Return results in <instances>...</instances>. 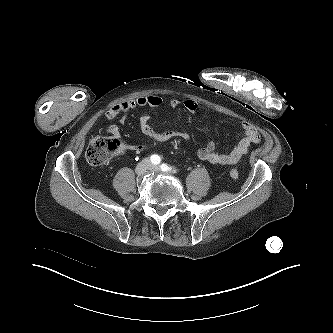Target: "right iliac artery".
Returning a JSON list of instances; mask_svg holds the SVG:
<instances>
[{"instance_id": "1", "label": "right iliac artery", "mask_w": 333, "mask_h": 333, "mask_svg": "<svg viewBox=\"0 0 333 333\" xmlns=\"http://www.w3.org/2000/svg\"><path fill=\"white\" fill-rule=\"evenodd\" d=\"M150 160H151V162H152L153 164L157 165V164L160 163L161 158H160V156L154 154V155H152V156L150 157Z\"/></svg>"}]
</instances>
